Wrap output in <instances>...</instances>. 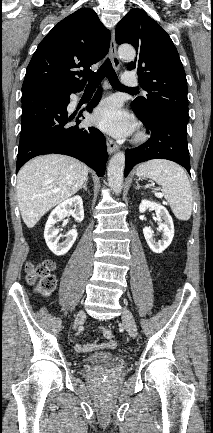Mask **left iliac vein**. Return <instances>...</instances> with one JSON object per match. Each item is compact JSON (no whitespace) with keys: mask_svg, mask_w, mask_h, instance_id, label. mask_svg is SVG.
<instances>
[{"mask_svg":"<svg viewBox=\"0 0 213 433\" xmlns=\"http://www.w3.org/2000/svg\"><path fill=\"white\" fill-rule=\"evenodd\" d=\"M122 321L128 334L135 338L137 335V327L132 313L125 307L122 312Z\"/></svg>","mask_w":213,"mask_h":433,"instance_id":"obj_1","label":"left iliac vein"}]
</instances>
